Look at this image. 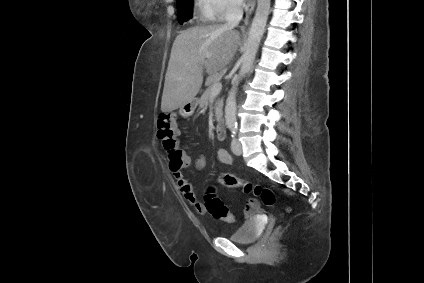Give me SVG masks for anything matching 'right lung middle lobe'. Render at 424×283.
Wrapping results in <instances>:
<instances>
[{"label":"right lung middle lobe","instance_id":"obj_1","mask_svg":"<svg viewBox=\"0 0 424 283\" xmlns=\"http://www.w3.org/2000/svg\"><path fill=\"white\" fill-rule=\"evenodd\" d=\"M193 0H177L178 21L183 23L191 18Z\"/></svg>","mask_w":424,"mask_h":283}]
</instances>
